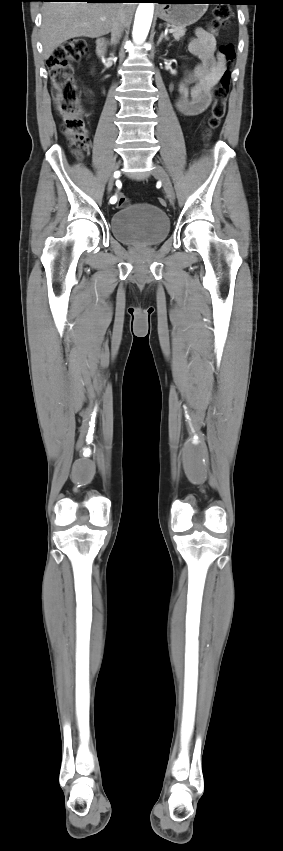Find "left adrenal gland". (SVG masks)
I'll list each match as a JSON object with an SVG mask.
<instances>
[{
  "instance_id": "a2214340",
  "label": "left adrenal gland",
  "mask_w": 283,
  "mask_h": 851,
  "mask_svg": "<svg viewBox=\"0 0 283 851\" xmlns=\"http://www.w3.org/2000/svg\"><path fill=\"white\" fill-rule=\"evenodd\" d=\"M163 39H165V40H169V37H168V36H167L164 32H162V33L160 34V37H159V39H158V41H157V45H159V44H160V42H161Z\"/></svg>"
}]
</instances>
